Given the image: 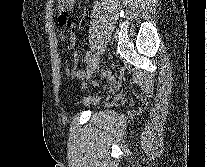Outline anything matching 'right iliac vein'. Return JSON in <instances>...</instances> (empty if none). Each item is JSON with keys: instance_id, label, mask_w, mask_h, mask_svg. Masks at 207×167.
<instances>
[{"instance_id": "63e3f726", "label": "right iliac vein", "mask_w": 207, "mask_h": 167, "mask_svg": "<svg viewBox=\"0 0 207 167\" xmlns=\"http://www.w3.org/2000/svg\"><path fill=\"white\" fill-rule=\"evenodd\" d=\"M99 61H100V57L98 54L94 55L92 59L89 61V64L87 66V76H86L87 80L90 79L94 71L97 69Z\"/></svg>"}]
</instances>
